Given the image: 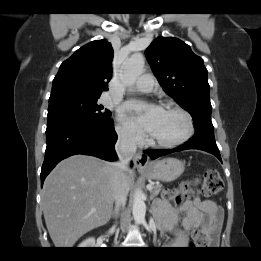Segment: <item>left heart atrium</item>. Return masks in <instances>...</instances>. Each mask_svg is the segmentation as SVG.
<instances>
[{
    "label": "left heart atrium",
    "mask_w": 261,
    "mask_h": 261,
    "mask_svg": "<svg viewBox=\"0 0 261 261\" xmlns=\"http://www.w3.org/2000/svg\"><path fill=\"white\" fill-rule=\"evenodd\" d=\"M130 120L147 133H151L162 113V109L155 105H143L138 101H128L123 106Z\"/></svg>",
    "instance_id": "obj_1"
}]
</instances>
